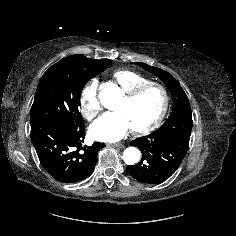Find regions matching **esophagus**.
Instances as JSON below:
<instances>
[{"instance_id":"1","label":"esophagus","mask_w":236,"mask_h":236,"mask_svg":"<svg viewBox=\"0 0 236 236\" xmlns=\"http://www.w3.org/2000/svg\"><path fill=\"white\" fill-rule=\"evenodd\" d=\"M108 146H110V147L123 148V147H124V144H122V143H111V144H108Z\"/></svg>"}]
</instances>
